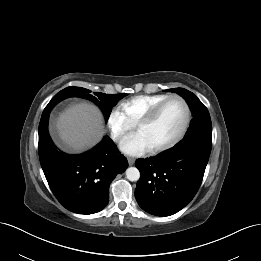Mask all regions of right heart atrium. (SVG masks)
Here are the masks:
<instances>
[{
  "instance_id": "right-heart-atrium-1",
  "label": "right heart atrium",
  "mask_w": 261,
  "mask_h": 261,
  "mask_svg": "<svg viewBox=\"0 0 261 261\" xmlns=\"http://www.w3.org/2000/svg\"><path fill=\"white\" fill-rule=\"evenodd\" d=\"M107 125L115 141H120L134 129V125L128 120L124 112L117 107L109 112Z\"/></svg>"
}]
</instances>
